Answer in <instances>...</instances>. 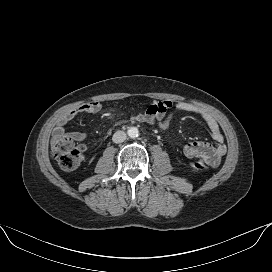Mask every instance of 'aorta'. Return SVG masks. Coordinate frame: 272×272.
Here are the masks:
<instances>
[{
    "instance_id": "obj_1",
    "label": "aorta",
    "mask_w": 272,
    "mask_h": 272,
    "mask_svg": "<svg viewBox=\"0 0 272 272\" xmlns=\"http://www.w3.org/2000/svg\"><path fill=\"white\" fill-rule=\"evenodd\" d=\"M127 134L130 138H136L139 134V130L136 127H130Z\"/></svg>"
}]
</instances>
